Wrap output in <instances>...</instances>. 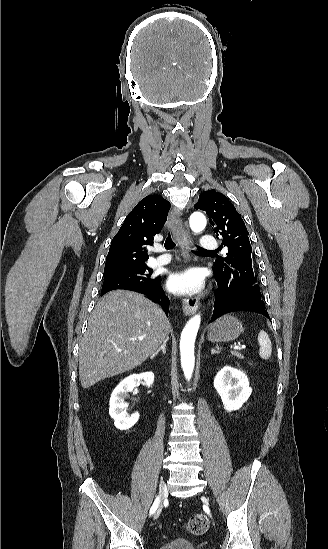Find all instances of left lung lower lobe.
<instances>
[{
  "label": "left lung lower lobe",
  "instance_id": "obj_1",
  "mask_svg": "<svg viewBox=\"0 0 328 549\" xmlns=\"http://www.w3.org/2000/svg\"><path fill=\"white\" fill-rule=\"evenodd\" d=\"M218 288L215 292L214 311L211 322L224 314L234 311H249L262 314L270 319L265 310L264 303L256 297L255 290L247 286L225 284L214 274Z\"/></svg>",
  "mask_w": 328,
  "mask_h": 549
}]
</instances>
